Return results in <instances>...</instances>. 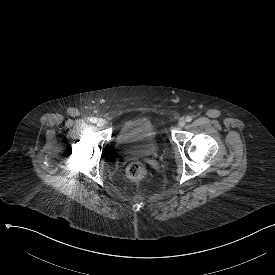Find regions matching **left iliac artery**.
<instances>
[{
    "label": "left iliac artery",
    "instance_id": "1",
    "mask_svg": "<svg viewBox=\"0 0 275 275\" xmlns=\"http://www.w3.org/2000/svg\"><path fill=\"white\" fill-rule=\"evenodd\" d=\"M191 120H192V117H190V116H187V117H186V121H187V122H191Z\"/></svg>",
    "mask_w": 275,
    "mask_h": 275
}]
</instances>
